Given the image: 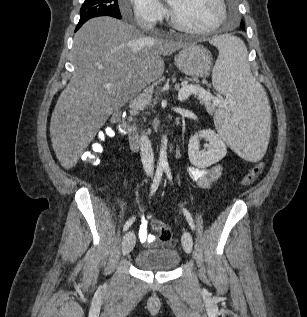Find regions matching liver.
Returning <instances> with one entry per match:
<instances>
[{"label": "liver", "mask_w": 307, "mask_h": 317, "mask_svg": "<svg viewBox=\"0 0 307 317\" xmlns=\"http://www.w3.org/2000/svg\"><path fill=\"white\" fill-rule=\"evenodd\" d=\"M186 45L178 39L147 37L112 17L87 21L74 36L75 70L50 122L52 146L62 167L75 166L109 116L163 75L161 55ZM107 82L113 83L109 90L104 88Z\"/></svg>", "instance_id": "obj_1"}]
</instances>
